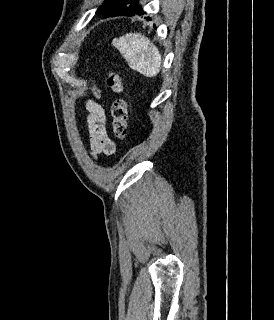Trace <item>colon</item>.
<instances>
[{
  "mask_svg": "<svg viewBox=\"0 0 274 320\" xmlns=\"http://www.w3.org/2000/svg\"><path fill=\"white\" fill-rule=\"evenodd\" d=\"M109 84L113 89L120 92L123 89L121 76L115 72H111ZM129 107L125 98L118 99L112 106L113 124L112 129L115 135L123 137L129 131Z\"/></svg>",
  "mask_w": 274,
  "mask_h": 320,
  "instance_id": "colon-1",
  "label": "colon"
}]
</instances>
